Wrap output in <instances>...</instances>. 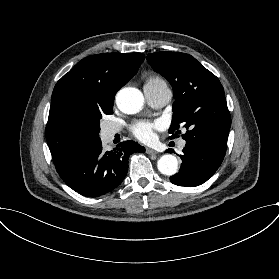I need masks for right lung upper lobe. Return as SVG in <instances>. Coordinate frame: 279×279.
Instances as JSON below:
<instances>
[{
    "label": "right lung upper lobe",
    "instance_id": "obj_1",
    "mask_svg": "<svg viewBox=\"0 0 279 279\" xmlns=\"http://www.w3.org/2000/svg\"><path fill=\"white\" fill-rule=\"evenodd\" d=\"M142 53H105L79 61L55 85L46 140L60 170L101 140L90 126L88 109L114 101L117 91L138 71Z\"/></svg>",
    "mask_w": 279,
    "mask_h": 279
}]
</instances>
